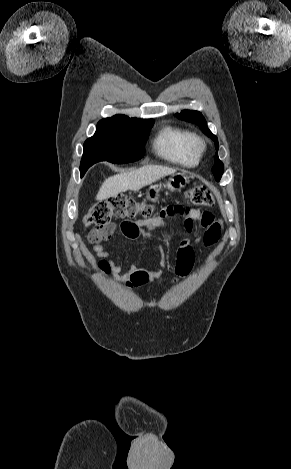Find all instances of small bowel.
Masks as SVG:
<instances>
[{"mask_svg": "<svg viewBox=\"0 0 291 469\" xmlns=\"http://www.w3.org/2000/svg\"><path fill=\"white\" fill-rule=\"evenodd\" d=\"M183 222L184 232L187 237L180 240L177 250V259L174 267L175 278L177 281L188 276L193 268L195 253L191 245L190 236L194 234V223L200 222L204 228L203 243L207 248L216 245L219 240L222 228L221 220H215L213 215L207 211H200L197 209H188L184 214H178ZM170 217L166 213L159 217L137 220L125 221L120 225V230L123 236L129 240H137L140 238L150 239L153 230L157 228H165L164 218ZM116 225H111V231L105 235H99L97 231H91L88 235V240L93 244V251L96 256L101 259L100 267L107 273L111 274L113 278L119 282L124 283L128 288L138 287L145 284L149 279V274L136 265H131L126 272L121 274L122 265L120 261H114L115 254L106 248V243L110 240ZM212 229H215V234H209ZM158 264L164 267L166 261L163 256L158 259ZM159 273H154L153 277H158Z\"/></svg>", "mask_w": 291, "mask_h": 469, "instance_id": "c3829d8e", "label": "small bowel"}]
</instances>
